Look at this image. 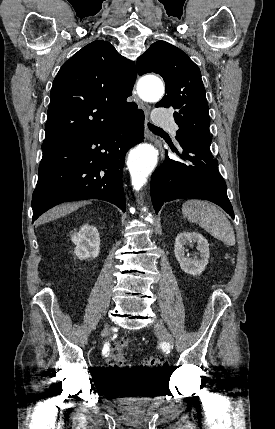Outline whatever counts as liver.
<instances>
[{
    "label": "liver",
    "instance_id": "obj_1",
    "mask_svg": "<svg viewBox=\"0 0 275 429\" xmlns=\"http://www.w3.org/2000/svg\"><path fill=\"white\" fill-rule=\"evenodd\" d=\"M74 209V206L71 205H64V206H58L56 208H53L52 210H50L49 212H47L46 214H44L37 222V224H42L48 220L54 219L59 217L62 214H65L71 210Z\"/></svg>",
    "mask_w": 275,
    "mask_h": 429
}]
</instances>
